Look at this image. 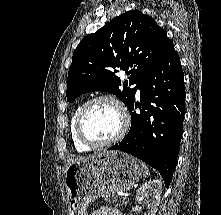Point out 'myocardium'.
I'll return each instance as SVG.
<instances>
[{
  "instance_id": "obj_1",
  "label": "myocardium",
  "mask_w": 221,
  "mask_h": 215,
  "mask_svg": "<svg viewBox=\"0 0 221 215\" xmlns=\"http://www.w3.org/2000/svg\"><path fill=\"white\" fill-rule=\"evenodd\" d=\"M100 101H109L112 104H114L116 108L118 109L120 116H121V120H122L121 127L119 131L117 132V134L113 136L112 138L108 140H104V141H97V140H93L89 138L85 134L84 128H83L84 119H85L88 109L93 104L100 102ZM129 124H130V120L123 105L115 97L104 94V95L93 97L80 106L78 113L76 115V120H75V132L79 141L86 146H89L91 148L106 147V146L115 144L116 142L121 140L127 133Z\"/></svg>"
}]
</instances>
